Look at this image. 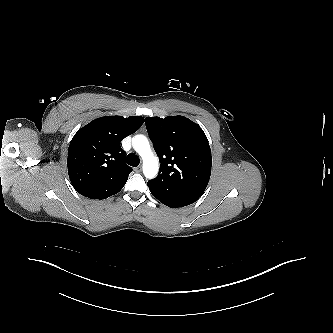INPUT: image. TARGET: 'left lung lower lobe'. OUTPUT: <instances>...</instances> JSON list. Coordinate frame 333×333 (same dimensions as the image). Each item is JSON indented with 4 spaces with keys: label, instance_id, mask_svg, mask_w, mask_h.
Here are the masks:
<instances>
[{
    "label": "left lung lower lobe",
    "instance_id": "obj_1",
    "mask_svg": "<svg viewBox=\"0 0 333 333\" xmlns=\"http://www.w3.org/2000/svg\"><path fill=\"white\" fill-rule=\"evenodd\" d=\"M150 190L160 202L168 207H184L198 200V197L186 196L178 193H165L163 197H159L152 189Z\"/></svg>",
    "mask_w": 333,
    "mask_h": 333
}]
</instances>
